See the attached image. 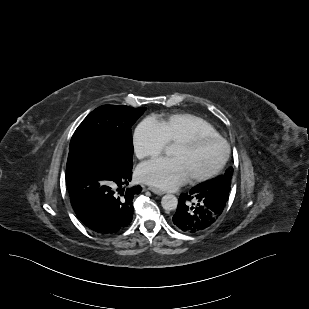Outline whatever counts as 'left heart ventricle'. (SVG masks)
<instances>
[{
  "mask_svg": "<svg viewBox=\"0 0 309 309\" xmlns=\"http://www.w3.org/2000/svg\"><path fill=\"white\" fill-rule=\"evenodd\" d=\"M171 155L182 162L189 177H192L215 168L222 155V146L216 141H207L192 148L174 145Z\"/></svg>",
  "mask_w": 309,
  "mask_h": 309,
  "instance_id": "left-heart-ventricle-1",
  "label": "left heart ventricle"
}]
</instances>
